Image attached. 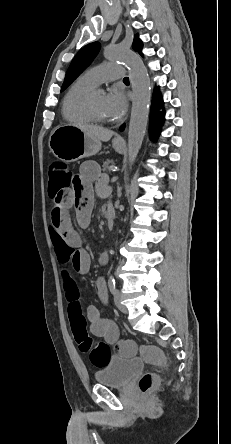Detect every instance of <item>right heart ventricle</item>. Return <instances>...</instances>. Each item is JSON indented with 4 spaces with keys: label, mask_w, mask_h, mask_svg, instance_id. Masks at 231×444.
<instances>
[{
    "label": "right heart ventricle",
    "mask_w": 231,
    "mask_h": 444,
    "mask_svg": "<svg viewBox=\"0 0 231 444\" xmlns=\"http://www.w3.org/2000/svg\"><path fill=\"white\" fill-rule=\"evenodd\" d=\"M96 85L84 76L78 78L67 91L62 105L63 117L75 124H90L93 119L87 110V101Z\"/></svg>",
    "instance_id": "right-heart-ventricle-1"
}]
</instances>
